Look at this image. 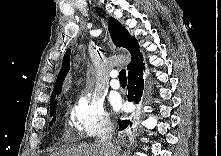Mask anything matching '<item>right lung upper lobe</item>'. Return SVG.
I'll list each match as a JSON object with an SVG mask.
<instances>
[{
    "instance_id": "cb5924a9",
    "label": "right lung upper lobe",
    "mask_w": 221,
    "mask_h": 156,
    "mask_svg": "<svg viewBox=\"0 0 221 156\" xmlns=\"http://www.w3.org/2000/svg\"><path fill=\"white\" fill-rule=\"evenodd\" d=\"M108 29L113 40V43L117 46H121L129 50L132 59L128 65V72L133 68L143 65V57L139 50V45L137 40L132 37L127 29L120 24L116 19L110 17L108 20ZM70 67V50H68L63 58L62 68L57 76L55 87L53 90L51 104L55 103V96L57 93L61 92L63 81L69 71ZM50 104V105H51Z\"/></svg>"
}]
</instances>
